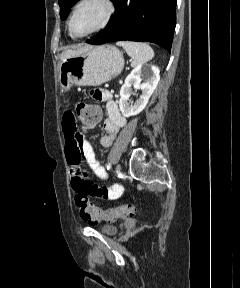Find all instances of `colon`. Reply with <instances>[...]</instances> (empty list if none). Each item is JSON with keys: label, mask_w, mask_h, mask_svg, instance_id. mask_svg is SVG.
Masks as SVG:
<instances>
[{"label": "colon", "mask_w": 240, "mask_h": 288, "mask_svg": "<svg viewBox=\"0 0 240 288\" xmlns=\"http://www.w3.org/2000/svg\"><path fill=\"white\" fill-rule=\"evenodd\" d=\"M74 115L83 128L90 129L95 127L99 122L101 110L97 105L80 101L75 105ZM75 204L82 219L88 222H113L118 218H127L135 213V207L131 204H124L115 208L102 210L95 206L89 198L82 193H76Z\"/></svg>", "instance_id": "obj_1"}]
</instances>
